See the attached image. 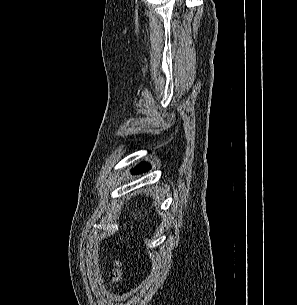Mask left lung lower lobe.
Instances as JSON below:
<instances>
[{
	"label": "left lung lower lobe",
	"instance_id": "obj_1",
	"mask_svg": "<svg viewBox=\"0 0 297 305\" xmlns=\"http://www.w3.org/2000/svg\"><path fill=\"white\" fill-rule=\"evenodd\" d=\"M149 169H150V165H148L147 163H141L139 168L134 170V173H136L137 171L139 172L147 171Z\"/></svg>",
	"mask_w": 297,
	"mask_h": 305
}]
</instances>
